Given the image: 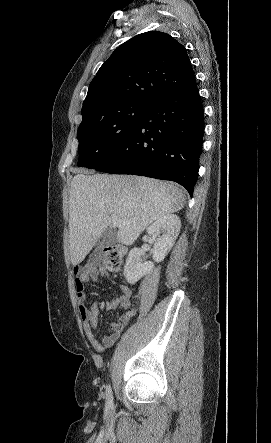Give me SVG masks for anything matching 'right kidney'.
Instances as JSON below:
<instances>
[{
	"label": "right kidney",
	"mask_w": 271,
	"mask_h": 443,
	"mask_svg": "<svg viewBox=\"0 0 271 443\" xmlns=\"http://www.w3.org/2000/svg\"><path fill=\"white\" fill-rule=\"evenodd\" d=\"M181 222L178 216L168 212L165 216H161L159 220L147 227L148 235H152L154 245L151 249L154 261H163L165 255L169 253L171 247L180 233ZM162 233V235H160ZM144 235L143 241H148L151 237ZM143 251L140 247H133L129 251V255L124 265V275L128 283H136L142 275L151 271L154 263L153 261H144L142 263L141 255Z\"/></svg>",
	"instance_id": "ca27d5eb"
}]
</instances>
